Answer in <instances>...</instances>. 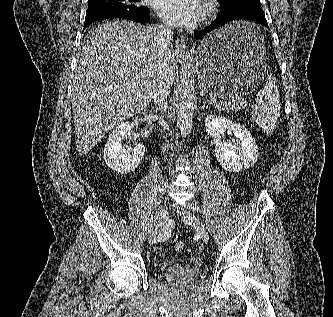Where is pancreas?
Wrapping results in <instances>:
<instances>
[{"mask_svg": "<svg viewBox=\"0 0 333 317\" xmlns=\"http://www.w3.org/2000/svg\"><path fill=\"white\" fill-rule=\"evenodd\" d=\"M217 108L219 111H224V112H233V111H238L242 110L245 108L244 104H240L239 102L236 103H219L217 104Z\"/></svg>", "mask_w": 333, "mask_h": 317, "instance_id": "obj_1", "label": "pancreas"}]
</instances>
